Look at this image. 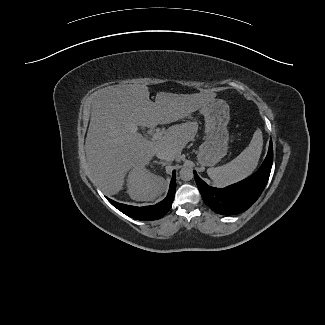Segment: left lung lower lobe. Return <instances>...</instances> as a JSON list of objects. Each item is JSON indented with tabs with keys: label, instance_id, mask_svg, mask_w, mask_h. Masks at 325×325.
<instances>
[{
	"label": "left lung lower lobe",
	"instance_id": "left-lung-lower-lobe-1",
	"mask_svg": "<svg viewBox=\"0 0 325 325\" xmlns=\"http://www.w3.org/2000/svg\"><path fill=\"white\" fill-rule=\"evenodd\" d=\"M272 163L273 146L270 141L268 154L261 167L253 175L236 184L219 189L208 186L196 171L194 177L206 205L216 213L234 215L247 210L259 198L268 182Z\"/></svg>",
	"mask_w": 325,
	"mask_h": 325
}]
</instances>
